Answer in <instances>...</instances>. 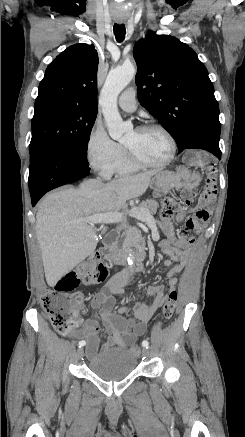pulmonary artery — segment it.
Listing matches in <instances>:
<instances>
[{"label": "pulmonary artery", "mask_w": 245, "mask_h": 437, "mask_svg": "<svg viewBox=\"0 0 245 437\" xmlns=\"http://www.w3.org/2000/svg\"><path fill=\"white\" fill-rule=\"evenodd\" d=\"M118 105L121 109L127 112H132L136 109L135 89L128 88L125 90L118 99Z\"/></svg>", "instance_id": "pulmonary-artery-1"}]
</instances>
